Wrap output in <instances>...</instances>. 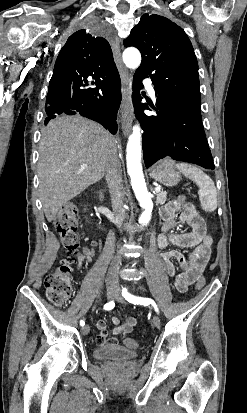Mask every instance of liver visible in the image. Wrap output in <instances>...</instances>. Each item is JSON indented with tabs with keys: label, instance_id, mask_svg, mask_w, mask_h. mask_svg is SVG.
I'll return each mask as SVG.
<instances>
[{
	"label": "liver",
	"instance_id": "liver-1",
	"mask_svg": "<svg viewBox=\"0 0 247 413\" xmlns=\"http://www.w3.org/2000/svg\"><path fill=\"white\" fill-rule=\"evenodd\" d=\"M114 136L101 124L74 116L52 118L39 142V196L49 223L68 200L105 174Z\"/></svg>",
	"mask_w": 247,
	"mask_h": 413
}]
</instances>
